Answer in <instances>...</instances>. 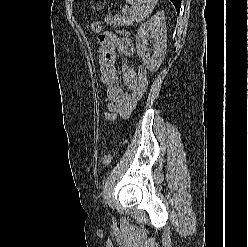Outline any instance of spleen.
I'll return each instance as SVG.
<instances>
[{"instance_id":"obj_1","label":"spleen","mask_w":248,"mask_h":247,"mask_svg":"<svg viewBox=\"0 0 248 247\" xmlns=\"http://www.w3.org/2000/svg\"><path fill=\"white\" fill-rule=\"evenodd\" d=\"M158 0H126L131 5L130 20L142 22L150 16Z\"/></svg>"}]
</instances>
